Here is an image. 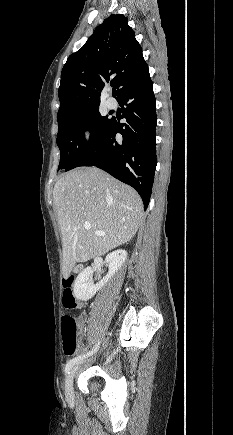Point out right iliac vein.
<instances>
[{
  "mask_svg": "<svg viewBox=\"0 0 233 435\" xmlns=\"http://www.w3.org/2000/svg\"><path fill=\"white\" fill-rule=\"evenodd\" d=\"M77 366L72 368L71 371L68 373V376L66 378V382H65V394H66V398L67 399H71L72 398V393H73V378L75 375V372L77 370Z\"/></svg>",
  "mask_w": 233,
  "mask_h": 435,
  "instance_id": "obj_1",
  "label": "right iliac vein"
}]
</instances>
